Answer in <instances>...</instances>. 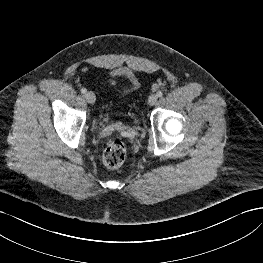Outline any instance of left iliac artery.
<instances>
[{
    "instance_id": "44dca946",
    "label": "left iliac artery",
    "mask_w": 263,
    "mask_h": 263,
    "mask_svg": "<svg viewBox=\"0 0 263 263\" xmlns=\"http://www.w3.org/2000/svg\"><path fill=\"white\" fill-rule=\"evenodd\" d=\"M162 95H163V93H162L161 91H158V92H157V96H158V97H161Z\"/></svg>"
}]
</instances>
